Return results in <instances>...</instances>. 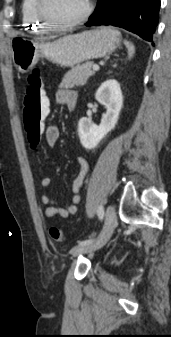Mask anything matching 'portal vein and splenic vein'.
I'll use <instances>...</instances> for the list:
<instances>
[{"label": "portal vein and splenic vein", "instance_id": "obj_1", "mask_svg": "<svg viewBox=\"0 0 171 337\" xmlns=\"http://www.w3.org/2000/svg\"><path fill=\"white\" fill-rule=\"evenodd\" d=\"M92 69H93L94 71H98V70H99V66H98V65H94V66L92 67Z\"/></svg>", "mask_w": 171, "mask_h": 337}]
</instances>
